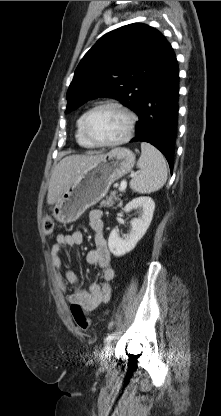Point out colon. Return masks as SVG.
I'll use <instances>...</instances> for the list:
<instances>
[{
    "mask_svg": "<svg viewBox=\"0 0 221 416\" xmlns=\"http://www.w3.org/2000/svg\"><path fill=\"white\" fill-rule=\"evenodd\" d=\"M43 230L45 232L46 235H50L52 234L53 230H54V221L52 218L47 217L44 219L43 221ZM71 313L72 316L77 324V326L81 329V330H88L90 327V321L87 318V316L85 315L82 307L79 304H72L71 305Z\"/></svg>",
    "mask_w": 221,
    "mask_h": 416,
    "instance_id": "colon-1",
    "label": "colon"
}]
</instances>
